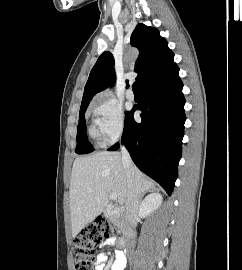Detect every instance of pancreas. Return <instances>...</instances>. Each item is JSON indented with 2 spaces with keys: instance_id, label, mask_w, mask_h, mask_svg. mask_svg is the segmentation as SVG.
<instances>
[{
  "instance_id": "1",
  "label": "pancreas",
  "mask_w": 242,
  "mask_h": 270,
  "mask_svg": "<svg viewBox=\"0 0 242 270\" xmlns=\"http://www.w3.org/2000/svg\"><path fill=\"white\" fill-rule=\"evenodd\" d=\"M110 222L114 224V226L117 228L119 233H124L125 232V223L122 219L117 217L116 215H111L109 217Z\"/></svg>"
}]
</instances>
